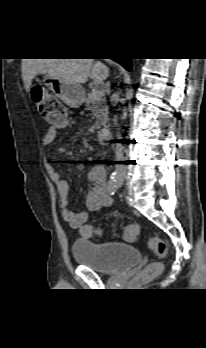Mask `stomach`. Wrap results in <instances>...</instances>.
<instances>
[{"instance_id": "stomach-1", "label": "stomach", "mask_w": 206, "mask_h": 348, "mask_svg": "<svg viewBox=\"0 0 206 348\" xmlns=\"http://www.w3.org/2000/svg\"><path fill=\"white\" fill-rule=\"evenodd\" d=\"M41 82L51 90L54 96L70 107L78 108L84 101V89L81 85L50 75H44Z\"/></svg>"}]
</instances>
